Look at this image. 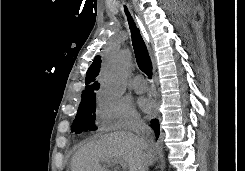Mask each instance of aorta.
Listing matches in <instances>:
<instances>
[{"label": "aorta", "mask_w": 245, "mask_h": 171, "mask_svg": "<svg viewBox=\"0 0 245 171\" xmlns=\"http://www.w3.org/2000/svg\"><path fill=\"white\" fill-rule=\"evenodd\" d=\"M132 52L121 50L106 66L103 74L104 87L113 94H123L126 90V78L132 64Z\"/></svg>", "instance_id": "762f6f07"}]
</instances>
